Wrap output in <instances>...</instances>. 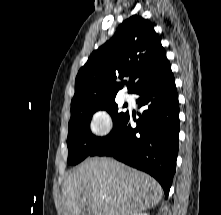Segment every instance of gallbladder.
I'll return each instance as SVG.
<instances>
[{"instance_id": "gallbladder-1", "label": "gallbladder", "mask_w": 221, "mask_h": 215, "mask_svg": "<svg viewBox=\"0 0 221 215\" xmlns=\"http://www.w3.org/2000/svg\"><path fill=\"white\" fill-rule=\"evenodd\" d=\"M80 215H92V214L88 212L86 209H84Z\"/></svg>"}]
</instances>
